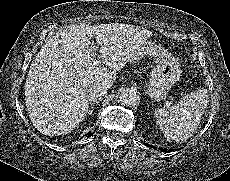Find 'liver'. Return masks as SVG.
<instances>
[{
    "instance_id": "1",
    "label": "liver",
    "mask_w": 230,
    "mask_h": 181,
    "mask_svg": "<svg viewBox=\"0 0 230 181\" xmlns=\"http://www.w3.org/2000/svg\"><path fill=\"white\" fill-rule=\"evenodd\" d=\"M151 35L144 28L82 23L53 36L37 54L26 78L25 102L34 126L46 135L70 133L88 113V90L110 88L116 71L132 57L134 44ZM96 55L105 67L93 65Z\"/></svg>"
}]
</instances>
